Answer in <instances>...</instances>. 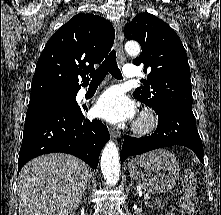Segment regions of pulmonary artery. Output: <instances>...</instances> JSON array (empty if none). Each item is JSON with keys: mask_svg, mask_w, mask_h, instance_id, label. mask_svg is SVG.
Instances as JSON below:
<instances>
[{"mask_svg": "<svg viewBox=\"0 0 221 215\" xmlns=\"http://www.w3.org/2000/svg\"><path fill=\"white\" fill-rule=\"evenodd\" d=\"M123 75L126 78H134L138 75L137 67L135 65L126 64L123 69ZM86 89H83L81 91V95H84L86 93Z\"/></svg>", "mask_w": 221, "mask_h": 215, "instance_id": "obj_1", "label": "pulmonary artery"}]
</instances>
